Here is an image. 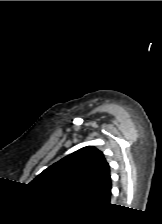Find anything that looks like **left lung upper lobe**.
<instances>
[{"label":"left lung upper lobe","mask_w":162,"mask_h":224,"mask_svg":"<svg viewBox=\"0 0 162 224\" xmlns=\"http://www.w3.org/2000/svg\"><path fill=\"white\" fill-rule=\"evenodd\" d=\"M110 178L102 152L84 147L40 173L30 184L59 197L87 199Z\"/></svg>","instance_id":"obj_1"}]
</instances>
